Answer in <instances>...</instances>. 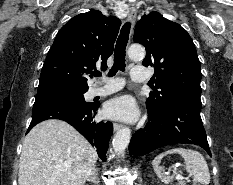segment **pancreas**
<instances>
[{"label":"pancreas","instance_id":"1","mask_svg":"<svg viewBox=\"0 0 233 185\" xmlns=\"http://www.w3.org/2000/svg\"><path fill=\"white\" fill-rule=\"evenodd\" d=\"M178 185H186V183H185V181L180 180V181L178 182Z\"/></svg>","mask_w":233,"mask_h":185}]
</instances>
